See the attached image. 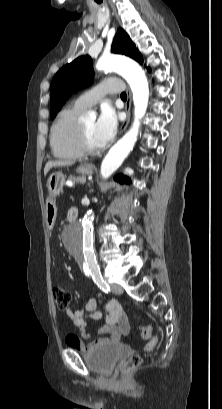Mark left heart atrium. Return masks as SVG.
<instances>
[{"label": "left heart atrium", "mask_w": 222, "mask_h": 409, "mask_svg": "<svg viewBox=\"0 0 222 409\" xmlns=\"http://www.w3.org/2000/svg\"><path fill=\"white\" fill-rule=\"evenodd\" d=\"M117 131V119L110 107H104L95 124V138L99 148L107 145Z\"/></svg>", "instance_id": "left-heart-atrium-1"}]
</instances>
